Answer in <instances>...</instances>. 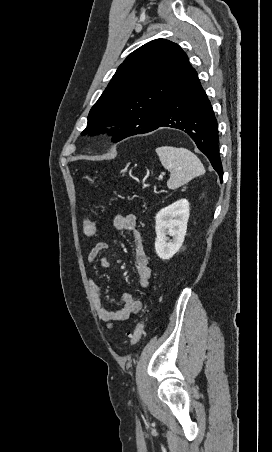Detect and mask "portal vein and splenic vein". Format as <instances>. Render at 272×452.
Returning a JSON list of instances; mask_svg holds the SVG:
<instances>
[{"instance_id": "18ae733b", "label": "portal vein and splenic vein", "mask_w": 272, "mask_h": 452, "mask_svg": "<svg viewBox=\"0 0 272 452\" xmlns=\"http://www.w3.org/2000/svg\"><path fill=\"white\" fill-rule=\"evenodd\" d=\"M163 178V175L161 174V175H159V179H162Z\"/></svg>"}]
</instances>
